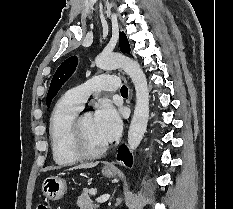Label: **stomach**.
Returning a JSON list of instances; mask_svg holds the SVG:
<instances>
[{"label":"stomach","instance_id":"stomach-1","mask_svg":"<svg viewBox=\"0 0 233 209\" xmlns=\"http://www.w3.org/2000/svg\"><path fill=\"white\" fill-rule=\"evenodd\" d=\"M102 174L105 177L111 178L115 176V171L103 169ZM66 191V180L59 176H49L42 183V193L47 200H59L63 197Z\"/></svg>","mask_w":233,"mask_h":209}]
</instances>
